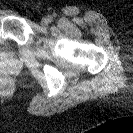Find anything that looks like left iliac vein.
I'll list each match as a JSON object with an SVG mask.
<instances>
[{"mask_svg": "<svg viewBox=\"0 0 133 133\" xmlns=\"http://www.w3.org/2000/svg\"><path fill=\"white\" fill-rule=\"evenodd\" d=\"M49 23H50V20H49L48 17L42 18L41 24H42L43 26H47Z\"/></svg>", "mask_w": 133, "mask_h": 133, "instance_id": "4c4485c4", "label": "left iliac vein"}]
</instances>
